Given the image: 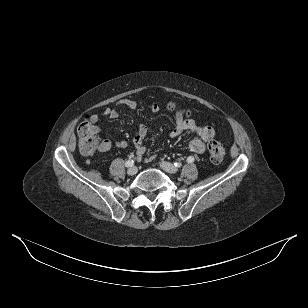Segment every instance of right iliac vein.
<instances>
[{
    "label": "right iliac vein",
    "mask_w": 308,
    "mask_h": 308,
    "mask_svg": "<svg viewBox=\"0 0 308 308\" xmlns=\"http://www.w3.org/2000/svg\"><path fill=\"white\" fill-rule=\"evenodd\" d=\"M138 172V169L137 167L135 166H131L128 170H127V173L128 175H135L136 173Z\"/></svg>",
    "instance_id": "right-iliac-vein-1"
}]
</instances>
